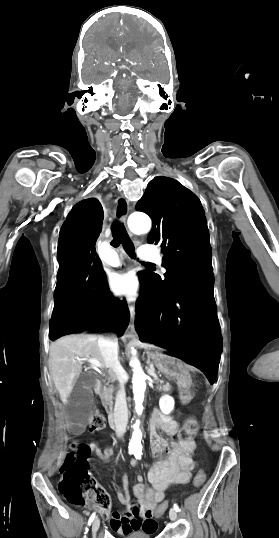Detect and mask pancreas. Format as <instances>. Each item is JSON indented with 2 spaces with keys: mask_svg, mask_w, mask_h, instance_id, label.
I'll return each instance as SVG.
<instances>
[{
  "mask_svg": "<svg viewBox=\"0 0 279 538\" xmlns=\"http://www.w3.org/2000/svg\"><path fill=\"white\" fill-rule=\"evenodd\" d=\"M169 385H174V380H167L163 379L162 381H158V384H156V387H160L161 389L169 387ZM160 388H157V391H160ZM113 392H114V386H104L101 394H99L103 406H113Z\"/></svg>",
  "mask_w": 279,
  "mask_h": 538,
  "instance_id": "cf45deb5",
  "label": "pancreas"
}]
</instances>
